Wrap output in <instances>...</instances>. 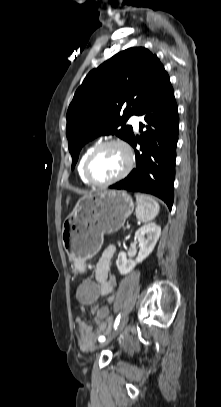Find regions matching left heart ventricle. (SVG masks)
I'll list each match as a JSON object with an SVG mask.
<instances>
[{
  "mask_svg": "<svg viewBox=\"0 0 221 407\" xmlns=\"http://www.w3.org/2000/svg\"><path fill=\"white\" fill-rule=\"evenodd\" d=\"M126 163L127 156L121 147L108 146L93 158L90 173L97 181H106L119 175Z\"/></svg>",
  "mask_w": 221,
  "mask_h": 407,
  "instance_id": "b2bd125f",
  "label": "left heart ventricle"
}]
</instances>
